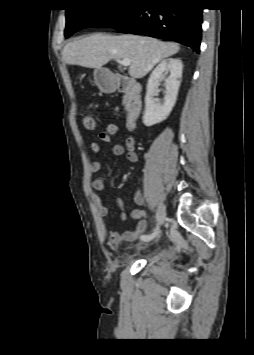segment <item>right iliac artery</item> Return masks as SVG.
Segmentation results:
<instances>
[{
    "label": "right iliac artery",
    "instance_id": "right-iliac-artery-1",
    "mask_svg": "<svg viewBox=\"0 0 254 355\" xmlns=\"http://www.w3.org/2000/svg\"><path fill=\"white\" fill-rule=\"evenodd\" d=\"M158 232H159V227L156 226V228L152 231L151 234H149V235H141L140 239L142 241L148 242V241L152 240L158 234Z\"/></svg>",
    "mask_w": 254,
    "mask_h": 355
}]
</instances>
